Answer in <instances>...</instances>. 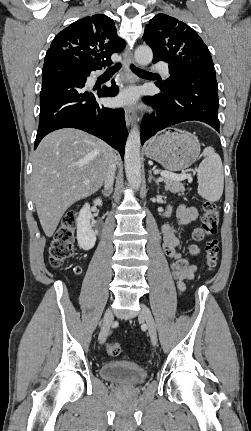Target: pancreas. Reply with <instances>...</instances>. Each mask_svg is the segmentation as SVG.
Masks as SVG:
<instances>
[{
  "label": "pancreas",
  "instance_id": "obj_1",
  "mask_svg": "<svg viewBox=\"0 0 251 431\" xmlns=\"http://www.w3.org/2000/svg\"><path fill=\"white\" fill-rule=\"evenodd\" d=\"M163 181L165 183V189L172 193H181L185 191V187L180 181L170 178H163Z\"/></svg>",
  "mask_w": 251,
  "mask_h": 431
}]
</instances>
